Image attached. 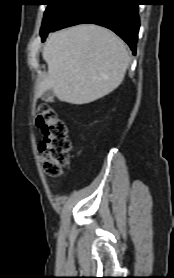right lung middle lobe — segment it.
<instances>
[{"mask_svg":"<svg viewBox=\"0 0 174 278\" xmlns=\"http://www.w3.org/2000/svg\"><path fill=\"white\" fill-rule=\"evenodd\" d=\"M75 1L76 0H45L47 8L42 22L41 33L52 28Z\"/></svg>","mask_w":174,"mask_h":278,"instance_id":"right-lung-middle-lobe-1","label":"right lung middle lobe"}]
</instances>
